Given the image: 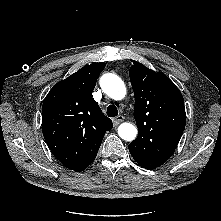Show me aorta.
<instances>
[{"label":"aorta","mask_w":221,"mask_h":221,"mask_svg":"<svg viewBox=\"0 0 221 221\" xmlns=\"http://www.w3.org/2000/svg\"><path fill=\"white\" fill-rule=\"evenodd\" d=\"M100 85L105 94L114 100H121L126 95V87L122 79L113 73L104 74ZM119 137L126 141H133L137 136V128L131 123H122L118 128Z\"/></svg>","instance_id":"aorta-1"}]
</instances>
